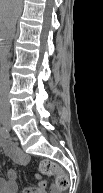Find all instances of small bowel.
I'll list each match as a JSON object with an SVG mask.
<instances>
[{
  "label": "small bowel",
  "mask_w": 103,
  "mask_h": 193,
  "mask_svg": "<svg viewBox=\"0 0 103 193\" xmlns=\"http://www.w3.org/2000/svg\"><path fill=\"white\" fill-rule=\"evenodd\" d=\"M2 147L6 154L19 165H26L29 163V156L21 151L14 143L8 139H2ZM17 173L14 169L6 171V179L1 180V193H18V186L16 183ZM23 193H48L47 183L40 181L37 187H28L23 190ZM50 193H62L61 189L56 185H51Z\"/></svg>",
  "instance_id": "1"
}]
</instances>
